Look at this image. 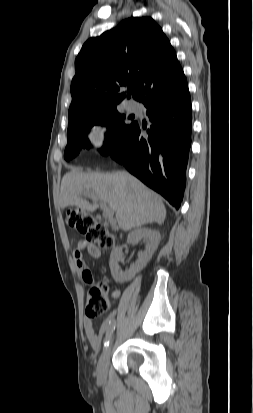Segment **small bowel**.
Wrapping results in <instances>:
<instances>
[{"label": "small bowel", "mask_w": 253, "mask_h": 413, "mask_svg": "<svg viewBox=\"0 0 253 413\" xmlns=\"http://www.w3.org/2000/svg\"><path fill=\"white\" fill-rule=\"evenodd\" d=\"M84 250H87L90 256L96 259L100 258L102 253L96 245L90 244L85 240L81 241L73 252L75 266L84 282L89 284L92 282V274L83 259ZM116 314V311H112L103 321L98 332L95 330L94 323L90 317L84 319L85 335L93 350L100 349L104 335H106L109 329L116 324Z\"/></svg>", "instance_id": "c3829d8e"}]
</instances>
